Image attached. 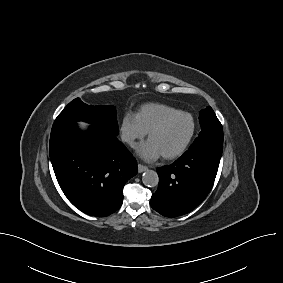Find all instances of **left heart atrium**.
<instances>
[{
	"instance_id": "1",
	"label": "left heart atrium",
	"mask_w": 283,
	"mask_h": 283,
	"mask_svg": "<svg viewBox=\"0 0 283 283\" xmlns=\"http://www.w3.org/2000/svg\"><path fill=\"white\" fill-rule=\"evenodd\" d=\"M136 152L140 158L148 162H153L162 155L158 147L150 139L140 144Z\"/></svg>"
}]
</instances>
